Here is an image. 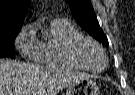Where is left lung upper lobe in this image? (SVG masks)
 Segmentation results:
<instances>
[{"label":"left lung upper lobe","instance_id":"obj_1","mask_svg":"<svg viewBox=\"0 0 135 95\" xmlns=\"http://www.w3.org/2000/svg\"><path fill=\"white\" fill-rule=\"evenodd\" d=\"M77 23L98 41L109 44L96 18L90 0H67Z\"/></svg>","mask_w":135,"mask_h":95}]
</instances>
